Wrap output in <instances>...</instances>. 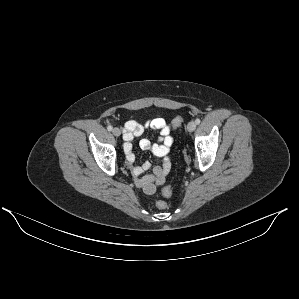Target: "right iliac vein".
Returning <instances> with one entry per match:
<instances>
[{"instance_id":"right-iliac-vein-1","label":"right iliac vein","mask_w":299,"mask_h":299,"mask_svg":"<svg viewBox=\"0 0 299 299\" xmlns=\"http://www.w3.org/2000/svg\"><path fill=\"white\" fill-rule=\"evenodd\" d=\"M112 133H113L116 137H118V136H120L121 131H120L119 128L115 127V128H113Z\"/></svg>"}]
</instances>
